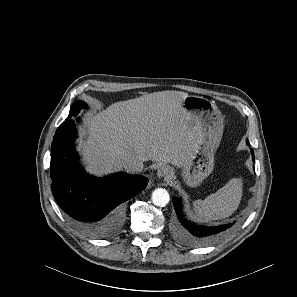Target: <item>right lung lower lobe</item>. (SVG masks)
<instances>
[{"label":"right lung lower lobe","instance_id":"right-lung-lower-lobe-1","mask_svg":"<svg viewBox=\"0 0 297 297\" xmlns=\"http://www.w3.org/2000/svg\"><path fill=\"white\" fill-rule=\"evenodd\" d=\"M74 119L67 118L53 138L52 193L80 232L92 238H107L114 235L123 222L120 205L144 190L148 179L123 172L104 178L87 175L74 149Z\"/></svg>","mask_w":297,"mask_h":297}]
</instances>
